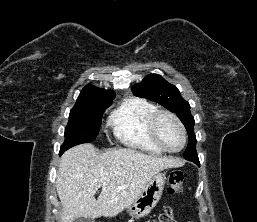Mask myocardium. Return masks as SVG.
<instances>
[{
  "mask_svg": "<svg viewBox=\"0 0 257 222\" xmlns=\"http://www.w3.org/2000/svg\"><path fill=\"white\" fill-rule=\"evenodd\" d=\"M164 116L170 117L172 120H174L175 123L178 125V127L181 130L183 140H182V145L178 149L173 150V149H169L168 147H166L158 135V130H157L158 123H159L160 119ZM149 133H150V136H151L152 140L154 141V143L159 148H161L164 152H167V153L180 152L185 147L186 142H187V131L185 129L184 124L182 123V121L176 114H174L173 112L168 111V110H158L151 117L150 123H149Z\"/></svg>",
  "mask_w": 257,
  "mask_h": 222,
  "instance_id": "f54148a6",
  "label": "myocardium"
}]
</instances>
